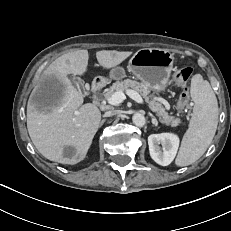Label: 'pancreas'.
Returning <instances> with one entry per match:
<instances>
[{
  "label": "pancreas",
  "mask_w": 231,
  "mask_h": 231,
  "mask_svg": "<svg viewBox=\"0 0 231 231\" xmlns=\"http://www.w3.org/2000/svg\"><path fill=\"white\" fill-rule=\"evenodd\" d=\"M129 89H132L140 93L145 98L146 102L148 103L149 108L154 113H156V116L158 117L159 121L162 124L175 127L181 123V120L179 118L170 116L166 112L161 102H159L155 98L150 99V89L147 85L137 82L135 80L126 79L123 81H116L108 89L105 90L104 96L106 99H108L115 92H118V91L126 92Z\"/></svg>",
  "instance_id": "pancreas-1"
}]
</instances>
